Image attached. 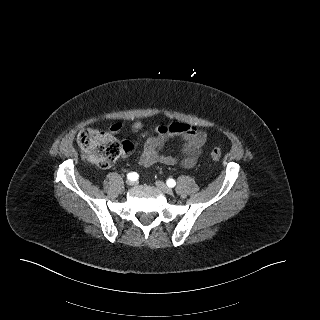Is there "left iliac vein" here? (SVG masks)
Returning a JSON list of instances; mask_svg holds the SVG:
<instances>
[{
    "label": "left iliac vein",
    "instance_id": "obj_1",
    "mask_svg": "<svg viewBox=\"0 0 320 320\" xmlns=\"http://www.w3.org/2000/svg\"><path fill=\"white\" fill-rule=\"evenodd\" d=\"M155 184L164 193H167V194H172L173 193V190L170 187H168L163 181L157 180L155 182Z\"/></svg>",
    "mask_w": 320,
    "mask_h": 320
}]
</instances>
